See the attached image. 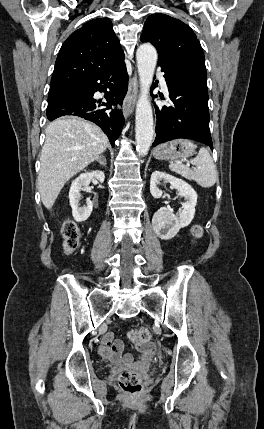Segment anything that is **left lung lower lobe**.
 Returning <instances> with one entry per match:
<instances>
[{
	"instance_id": "left-lung-lower-lobe-1",
	"label": "left lung lower lobe",
	"mask_w": 264,
	"mask_h": 429,
	"mask_svg": "<svg viewBox=\"0 0 264 429\" xmlns=\"http://www.w3.org/2000/svg\"><path fill=\"white\" fill-rule=\"evenodd\" d=\"M158 65L165 73L171 106L155 105L157 122L153 146L186 138L205 143L213 149L207 87L166 61H158Z\"/></svg>"
}]
</instances>
